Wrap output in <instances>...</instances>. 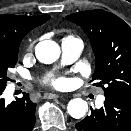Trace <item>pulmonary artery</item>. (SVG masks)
<instances>
[{"label": "pulmonary artery", "instance_id": "obj_1", "mask_svg": "<svg viewBox=\"0 0 131 131\" xmlns=\"http://www.w3.org/2000/svg\"><path fill=\"white\" fill-rule=\"evenodd\" d=\"M83 48V43L79 38L74 36H67L62 39V64H70L77 60L80 56ZM104 100L103 96H99L98 102L102 103Z\"/></svg>", "mask_w": 131, "mask_h": 131}]
</instances>
